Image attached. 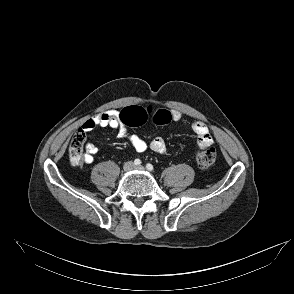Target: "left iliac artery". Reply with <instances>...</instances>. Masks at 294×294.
<instances>
[{
    "label": "left iliac artery",
    "instance_id": "1",
    "mask_svg": "<svg viewBox=\"0 0 294 294\" xmlns=\"http://www.w3.org/2000/svg\"><path fill=\"white\" fill-rule=\"evenodd\" d=\"M146 168H147L149 171H152V170H153V165L150 164V163H148V164L146 165Z\"/></svg>",
    "mask_w": 294,
    "mask_h": 294
}]
</instances>
